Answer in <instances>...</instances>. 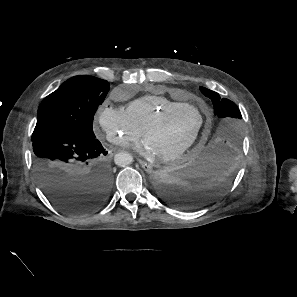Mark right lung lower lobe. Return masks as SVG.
Instances as JSON below:
<instances>
[{"instance_id":"obj_1","label":"right lung lower lobe","mask_w":297,"mask_h":297,"mask_svg":"<svg viewBox=\"0 0 297 297\" xmlns=\"http://www.w3.org/2000/svg\"><path fill=\"white\" fill-rule=\"evenodd\" d=\"M39 184L54 206L68 214L99 209L107 200L112 171L96 137L72 130L32 137Z\"/></svg>"}]
</instances>
